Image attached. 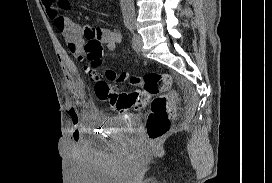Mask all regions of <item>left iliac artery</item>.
I'll return each mask as SVG.
<instances>
[{"mask_svg": "<svg viewBox=\"0 0 272 183\" xmlns=\"http://www.w3.org/2000/svg\"><path fill=\"white\" fill-rule=\"evenodd\" d=\"M130 31L133 32L134 31V26L131 25Z\"/></svg>", "mask_w": 272, "mask_h": 183, "instance_id": "obj_1", "label": "left iliac artery"}]
</instances>
